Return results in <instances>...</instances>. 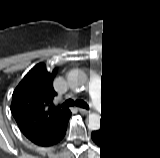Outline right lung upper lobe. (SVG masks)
I'll list each match as a JSON object with an SVG mask.
<instances>
[{"instance_id": "obj_1", "label": "right lung upper lobe", "mask_w": 160, "mask_h": 158, "mask_svg": "<svg viewBox=\"0 0 160 158\" xmlns=\"http://www.w3.org/2000/svg\"><path fill=\"white\" fill-rule=\"evenodd\" d=\"M44 63L35 65L21 80L12 95L11 113L21 132L32 139L56 127L70 115L68 108L53 103L56 92Z\"/></svg>"}]
</instances>
